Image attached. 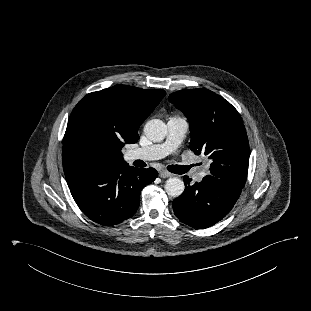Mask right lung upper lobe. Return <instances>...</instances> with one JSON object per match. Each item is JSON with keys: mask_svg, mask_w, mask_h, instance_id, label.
<instances>
[{"mask_svg": "<svg viewBox=\"0 0 311 311\" xmlns=\"http://www.w3.org/2000/svg\"><path fill=\"white\" fill-rule=\"evenodd\" d=\"M165 95V91L161 89H141L126 85L89 93L73 109L67 129L77 117L86 113L93 114L98 126L111 139L109 150L112 163L125 165L121 149L125 144L138 141L139 126Z\"/></svg>", "mask_w": 311, "mask_h": 311, "instance_id": "obj_1", "label": "right lung upper lobe"}]
</instances>
